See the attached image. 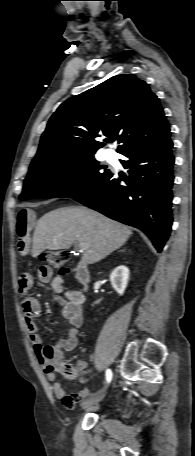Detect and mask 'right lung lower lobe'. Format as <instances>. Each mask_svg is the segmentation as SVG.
Segmentation results:
<instances>
[{
	"mask_svg": "<svg viewBox=\"0 0 195 456\" xmlns=\"http://www.w3.org/2000/svg\"><path fill=\"white\" fill-rule=\"evenodd\" d=\"M171 139L132 147L122 152L128 177L110 173L88 193L74 200L107 217L142 230L158 252L167 241L172 225L174 156ZM126 182L121 185L120 181Z\"/></svg>",
	"mask_w": 195,
	"mask_h": 456,
	"instance_id": "obj_1",
	"label": "right lung lower lobe"
}]
</instances>
